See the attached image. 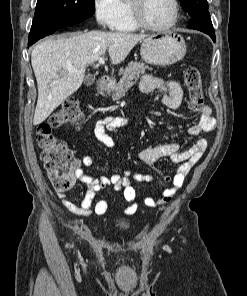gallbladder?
I'll use <instances>...</instances> for the list:
<instances>
[{
	"instance_id": "bac80fb5",
	"label": "gallbladder",
	"mask_w": 247,
	"mask_h": 296,
	"mask_svg": "<svg viewBox=\"0 0 247 296\" xmlns=\"http://www.w3.org/2000/svg\"><path fill=\"white\" fill-rule=\"evenodd\" d=\"M84 81H85V84L87 86H90L95 81V77H93V76H87Z\"/></svg>"
}]
</instances>
